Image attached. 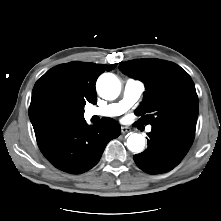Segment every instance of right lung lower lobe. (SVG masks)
Segmentation results:
<instances>
[{
	"label": "right lung lower lobe",
	"mask_w": 221,
	"mask_h": 221,
	"mask_svg": "<svg viewBox=\"0 0 221 221\" xmlns=\"http://www.w3.org/2000/svg\"><path fill=\"white\" fill-rule=\"evenodd\" d=\"M120 132L121 127L111 118L91 126L83 117L54 124L36 139L43 155L56 168L80 174L98 163L107 143Z\"/></svg>",
	"instance_id": "right-lung-lower-lobe-1"
}]
</instances>
